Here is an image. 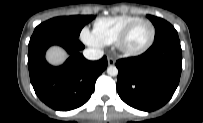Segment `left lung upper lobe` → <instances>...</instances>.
<instances>
[{"label": "left lung upper lobe", "mask_w": 203, "mask_h": 123, "mask_svg": "<svg viewBox=\"0 0 203 123\" xmlns=\"http://www.w3.org/2000/svg\"><path fill=\"white\" fill-rule=\"evenodd\" d=\"M155 26V41L171 34H177L175 28L167 21L148 15L147 16Z\"/></svg>", "instance_id": "left-lung-upper-lobe-1"}]
</instances>
